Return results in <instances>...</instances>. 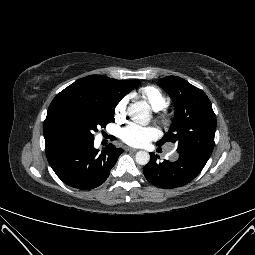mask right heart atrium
Listing matches in <instances>:
<instances>
[{"instance_id":"1","label":"right heart atrium","mask_w":255,"mask_h":255,"mask_svg":"<svg viewBox=\"0 0 255 255\" xmlns=\"http://www.w3.org/2000/svg\"><path fill=\"white\" fill-rule=\"evenodd\" d=\"M125 108H126V99L124 98L120 100L115 106V109H114L115 116L118 118L122 117L125 113Z\"/></svg>"}]
</instances>
